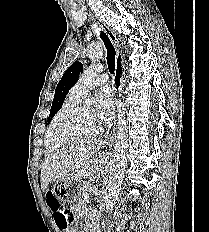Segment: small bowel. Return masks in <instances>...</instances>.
Segmentation results:
<instances>
[{
    "mask_svg": "<svg viewBox=\"0 0 209 232\" xmlns=\"http://www.w3.org/2000/svg\"><path fill=\"white\" fill-rule=\"evenodd\" d=\"M85 214L86 213H85L84 209L80 208V209H78L76 216L79 218V217L84 216ZM58 227L60 228V226H58ZM60 229H62V228H60ZM62 230L64 232H81L79 228H77V227H69V226L67 228H65V229H62Z\"/></svg>",
    "mask_w": 209,
    "mask_h": 232,
    "instance_id": "small-bowel-1",
    "label": "small bowel"
}]
</instances>
